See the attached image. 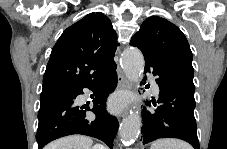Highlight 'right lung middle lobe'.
I'll use <instances>...</instances> for the list:
<instances>
[{
    "mask_svg": "<svg viewBox=\"0 0 227 149\" xmlns=\"http://www.w3.org/2000/svg\"><path fill=\"white\" fill-rule=\"evenodd\" d=\"M71 90L72 87L68 86H55L43 89L40 95V109L57 99L69 98L71 96Z\"/></svg>",
    "mask_w": 227,
    "mask_h": 149,
    "instance_id": "1",
    "label": "right lung middle lobe"
}]
</instances>
